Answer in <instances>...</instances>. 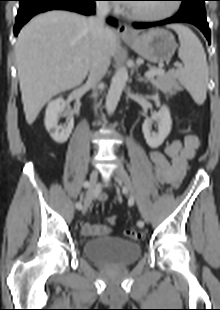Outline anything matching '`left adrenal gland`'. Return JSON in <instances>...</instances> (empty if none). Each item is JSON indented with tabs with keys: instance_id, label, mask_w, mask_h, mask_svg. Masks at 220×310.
Wrapping results in <instances>:
<instances>
[{
	"instance_id": "1",
	"label": "left adrenal gland",
	"mask_w": 220,
	"mask_h": 310,
	"mask_svg": "<svg viewBox=\"0 0 220 310\" xmlns=\"http://www.w3.org/2000/svg\"><path fill=\"white\" fill-rule=\"evenodd\" d=\"M139 76V75H138ZM139 82H144V83H147L148 81L142 77H138L137 79Z\"/></svg>"
}]
</instances>
